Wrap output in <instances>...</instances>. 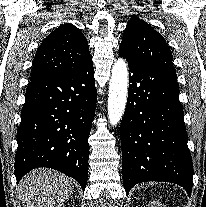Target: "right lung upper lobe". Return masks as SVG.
Listing matches in <instances>:
<instances>
[{
	"label": "right lung upper lobe",
	"instance_id": "1",
	"mask_svg": "<svg viewBox=\"0 0 206 207\" xmlns=\"http://www.w3.org/2000/svg\"><path fill=\"white\" fill-rule=\"evenodd\" d=\"M92 61L82 32L72 24H64L41 43L33 60L31 81L68 75Z\"/></svg>",
	"mask_w": 206,
	"mask_h": 207
}]
</instances>
